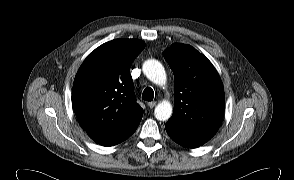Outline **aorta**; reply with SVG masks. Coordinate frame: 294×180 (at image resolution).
Segmentation results:
<instances>
[{"label": "aorta", "instance_id": "obj_1", "mask_svg": "<svg viewBox=\"0 0 294 180\" xmlns=\"http://www.w3.org/2000/svg\"><path fill=\"white\" fill-rule=\"evenodd\" d=\"M143 72L146 77L155 84L163 85L166 82V72L163 65L155 59H149L143 64ZM155 118L159 121H166L172 115V105L169 101L158 103L154 110Z\"/></svg>", "mask_w": 294, "mask_h": 180}]
</instances>
